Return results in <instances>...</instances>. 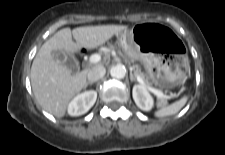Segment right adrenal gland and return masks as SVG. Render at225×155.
<instances>
[{
  "mask_svg": "<svg viewBox=\"0 0 225 155\" xmlns=\"http://www.w3.org/2000/svg\"><path fill=\"white\" fill-rule=\"evenodd\" d=\"M94 82H87L85 87H87L88 85H92Z\"/></svg>",
  "mask_w": 225,
  "mask_h": 155,
  "instance_id": "1",
  "label": "right adrenal gland"
}]
</instances>
